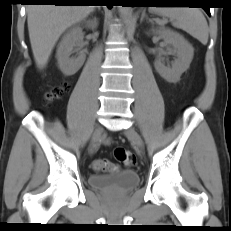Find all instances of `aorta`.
<instances>
[{"label": "aorta", "mask_w": 231, "mask_h": 231, "mask_svg": "<svg viewBox=\"0 0 231 231\" xmlns=\"http://www.w3.org/2000/svg\"><path fill=\"white\" fill-rule=\"evenodd\" d=\"M119 12L121 13L122 16H124L125 18L129 17L130 13H131V7H122L119 6Z\"/></svg>", "instance_id": "aorta-1"}]
</instances>
